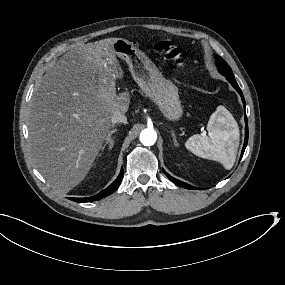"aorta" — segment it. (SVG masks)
Returning a JSON list of instances; mask_svg holds the SVG:
<instances>
[{
  "label": "aorta",
  "mask_w": 285,
  "mask_h": 285,
  "mask_svg": "<svg viewBox=\"0 0 285 285\" xmlns=\"http://www.w3.org/2000/svg\"><path fill=\"white\" fill-rule=\"evenodd\" d=\"M157 140V133L153 128H146L140 134V142L144 146H152Z\"/></svg>",
  "instance_id": "aorta-1"
}]
</instances>
